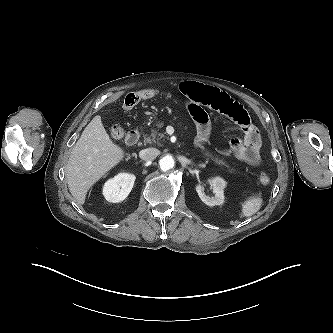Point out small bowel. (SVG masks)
I'll use <instances>...</instances> for the list:
<instances>
[{"mask_svg":"<svg viewBox=\"0 0 333 333\" xmlns=\"http://www.w3.org/2000/svg\"><path fill=\"white\" fill-rule=\"evenodd\" d=\"M179 90L189 101V112L196 125L197 144L206 142L210 135V120L203 108L207 107L224 114L240 126L242 136L233 138L229 142L233 155L250 165L259 164L260 135L240 103L219 89L200 83L183 82L179 85Z\"/></svg>","mask_w":333,"mask_h":333,"instance_id":"obj_1","label":"small bowel"}]
</instances>
